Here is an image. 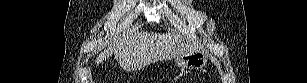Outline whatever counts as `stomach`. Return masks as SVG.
Segmentation results:
<instances>
[{"instance_id":"0dacf381","label":"stomach","mask_w":307,"mask_h":83,"mask_svg":"<svg viewBox=\"0 0 307 83\" xmlns=\"http://www.w3.org/2000/svg\"><path fill=\"white\" fill-rule=\"evenodd\" d=\"M175 61L182 69H201L206 66L208 60L205 52L190 50L182 53Z\"/></svg>"}]
</instances>
